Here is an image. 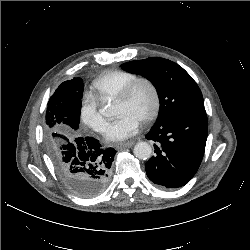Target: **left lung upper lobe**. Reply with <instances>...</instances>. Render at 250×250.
I'll return each instance as SVG.
<instances>
[{
  "label": "left lung upper lobe",
  "mask_w": 250,
  "mask_h": 250,
  "mask_svg": "<svg viewBox=\"0 0 250 250\" xmlns=\"http://www.w3.org/2000/svg\"><path fill=\"white\" fill-rule=\"evenodd\" d=\"M121 67L130 73L142 75L155 86L160 101L159 114L155 123L188 110L204 108L203 96L198 85L175 62L150 57L124 63Z\"/></svg>",
  "instance_id": "left-lung-upper-lobe-1"
}]
</instances>
